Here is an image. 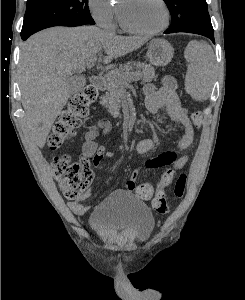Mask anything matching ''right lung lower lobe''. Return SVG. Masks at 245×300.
I'll list each match as a JSON object with an SVG mask.
<instances>
[{
	"label": "right lung lower lobe",
	"instance_id": "1",
	"mask_svg": "<svg viewBox=\"0 0 245 300\" xmlns=\"http://www.w3.org/2000/svg\"><path fill=\"white\" fill-rule=\"evenodd\" d=\"M29 36H21L23 40H26Z\"/></svg>",
	"mask_w": 245,
	"mask_h": 300
}]
</instances>
